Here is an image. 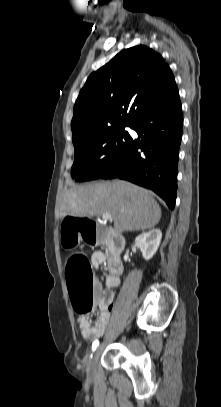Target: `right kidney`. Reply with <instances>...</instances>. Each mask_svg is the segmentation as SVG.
<instances>
[{"label":"right kidney","mask_w":221,"mask_h":407,"mask_svg":"<svg viewBox=\"0 0 221 407\" xmlns=\"http://www.w3.org/2000/svg\"><path fill=\"white\" fill-rule=\"evenodd\" d=\"M161 238L162 232L159 229L144 232L136 238V243L140 247L145 260H150L154 256L159 247ZM127 259L128 252L124 256V260L127 261Z\"/></svg>","instance_id":"ca27d5eb"}]
</instances>
